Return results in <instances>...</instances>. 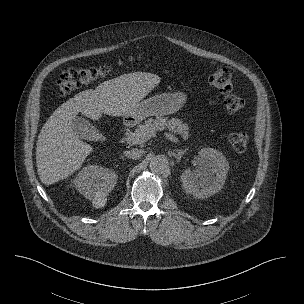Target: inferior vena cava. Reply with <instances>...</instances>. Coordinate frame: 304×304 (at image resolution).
Wrapping results in <instances>:
<instances>
[{"mask_svg": "<svg viewBox=\"0 0 304 304\" xmlns=\"http://www.w3.org/2000/svg\"><path fill=\"white\" fill-rule=\"evenodd\" d=\"M143 150L142 149H132L129 151L124 152V156L130 159H139L143 155Z\"/></svg>", "mask_w": 304, "mask_h": 304, "instance_id": "1", "label": "inferior vena cava"}]
</instances>
